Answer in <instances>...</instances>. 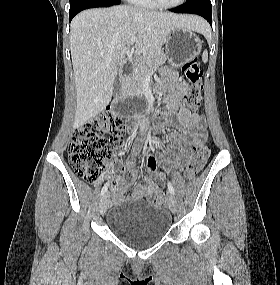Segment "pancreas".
I'll return each instance as SVG.
<instances>
[{
  "label": "pancreas",
  "instance_id": "pancreas-1",
  "mask_svg": "<svg viewBox=\"0 0 280 285\" xmlns=\"http://www.w3.org/2000/svg\"><path fill=\"white\" fill-rule=\"evenodd\" d=\"M165 55L161 52L153 55H144L134 67L133 73L127 79L125 88L126 94L133 95L140 93L143 81L148 73H153L160 65L165 62Z\"/></svg>",
  "mask_w": 280,
  "mask_h": 285
}]
</instances>
